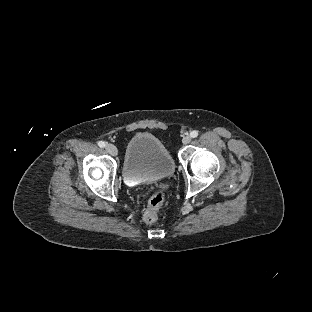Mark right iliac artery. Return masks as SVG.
I'll use <instances>...</instances> for the list:
<instances>
[{"label":"right iliac artery","mask_w":312,"mask_h":312,"mask_svg":"<svg viewBox=\"0 0 312 312\" xmlns=\"http://www.w3.org/2000/svg\"><path fill=\"white\" fill-rule=\"evenodd\" d=\"M105 145H106V144H105L104 141H99V142H98V146L101 147V148H102V147H105Z\"/></svg>","instance_id":"obj_1"}]
</instances>
